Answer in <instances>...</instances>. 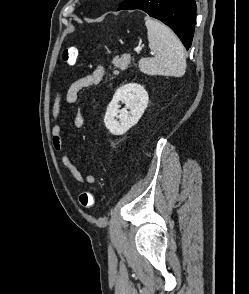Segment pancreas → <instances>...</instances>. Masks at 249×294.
Instances as JSON below:
<instances>
[{"mask_svg":"<svg viewBox=\"0 0 249 294\" xmlns=\"http://www.w3.org/2000/svg\"><path fill=\"white\" fill-rule=\"evenodd\" d=\"M131 57L130 55H122L120 58L116 57L113 59L112 64L115 66V69H120L121 71L126 70L130 65ZM114 75L119 74L118 70L113 71Z\"/></svg>","mask_w":249,"mask_h":294,"instance_id":"1","label":"pancreas"}]
</instances>
